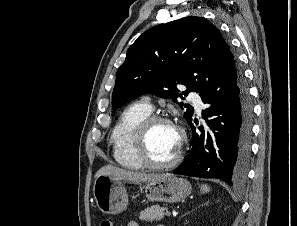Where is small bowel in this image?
Returning <instances> with one entry per match:
<instances>
[{
  "label": "small bowel",
  "mask_w": 297,
  "mask_h": 226,
  "mask_svg": "<svg viewBox=\"0 0 297 226\" xmlns=\"http://www.w3.org/2000/svg\"><path fill=\"white\" fill-rule=\"evenodd\" d=\"M127 226H139L138 223L136 221H131L128 223Z\"/></svg>",
  "instance_id": "1"
}]
</instances>
